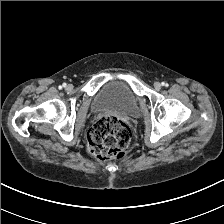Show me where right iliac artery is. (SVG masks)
I'll return each instance as SVG.
<instances>
[{"instance_id":"right-iliac-artery-1","label":"right iliac artery","mask_w":224,"mask_h":224,"mask_svg":"<svg viewBox=\"0 0 224 224\" xmlns=\"http://www.w3.org/2000/svg\"><path fill=\"white\" fill-rule=\"evenodd\" d=\"M62 87H66V83H63ZM61 88V87H60Z\"/></svg>"}]
</instances>
